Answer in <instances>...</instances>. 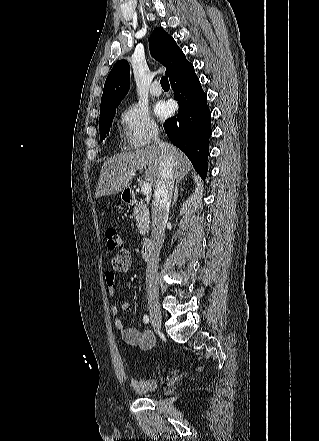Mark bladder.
I'll use <instances>...</instances> for the list:
<instances>
[{
  "mask_svg": "<svg viewBox=\"0 0 319 441\" xmlns=\"http://www.w3.org/2000/svg\"><path fill=\"white\" fill-rule=\"evenodd\" d=\"M131 386L136 394L147 397L157 391L159 382L156 378L132 379Z\"/></svg>",
  "mask_w": 319,
  "mask_h": 441,
  "instance_id": "obj_1",
  "label": "bladder"
}]
</instances>
